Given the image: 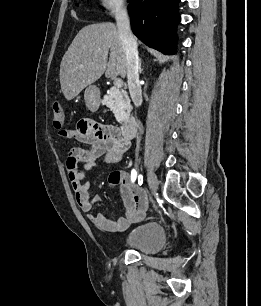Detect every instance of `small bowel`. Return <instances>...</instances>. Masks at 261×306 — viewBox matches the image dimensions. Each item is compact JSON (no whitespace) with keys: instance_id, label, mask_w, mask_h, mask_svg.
I'll list each match as a JSON object with an SVG mask.
<instances>
[{"instance_id":"small-bowel-1","label":"small bowel","mask_w":261,"mask_h":306,"mask_svg":"<svg viewBox=\"0 0 261 306\" xmlns=\"http://www.w3.org/2000/svg\"><path fill=\"white\" fill-rule=\"evenodd\" d=\"M60 134L66 139L89 146L88 149L72 147L65 160L76 203L86 213L88 220L95 227L110 234L121 233L131 224L140 221L145 214L146 200L132 187L127 173L115 171L121 175V180L116 183L112 182L109 176V183L119 188L126 209L125 215L116 220H110L101 213H92L98 197L91 198L90 183L83 182L86 172L95 167L121 162L130 146V139L123 137L117 127L92 120H81L75 129L63 130Z\"/></svg>"}]
</instances>
